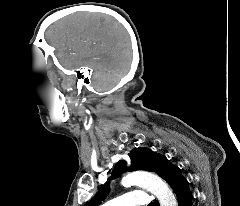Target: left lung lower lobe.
<instances>
[{"instance_id":"0a47b994","label":"left lung lower lobe","mask_w":240,"mask_h":206,"mask_svg":"<svg viewBox=\"0 0 240 206\" xmlns=\"http://www.w3.org/2000/svg\"><path fill=\"white\" fill-rule=\"evenodd\" d=\"M171 186L178 200V206H192L193 195L189 189L187 179L181 174L179 167L171 165L164 177ZM154 206H159L158 202Z\"/></svg>"}]
</instances>
